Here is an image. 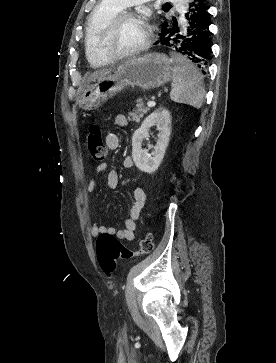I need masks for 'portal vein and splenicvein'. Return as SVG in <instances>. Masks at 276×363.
Returning <instances> with one entry per match:
<instances>
[{
    "instance_id": "portal-vein-and-splenic-vein-1",
    "label": "portal vein and splenic vein",
    "mask_w": 276,
    "mask_h": 363,
    "mask_svg": "<svg viewBox=\"0 0 276 363\" xmlns=\"http://www.w3.org/2000/svg\"><path fill=\"white\" fill-rule=\"evenodd\" d=\"M155 102L154 101H148V103H147V105L149 106V107H153V106H155Z\"/></svg>"
}]
</instances>
